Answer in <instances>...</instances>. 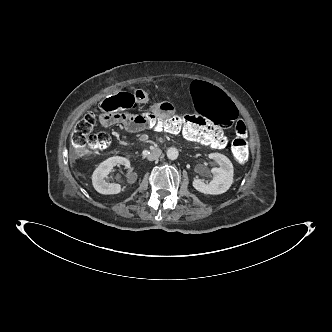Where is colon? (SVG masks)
Listing matches in <instances>:
<instances>
[{
    "label": "colon",
    "mask_w": 332,
    "mask_h": 332,
    "mask_svg": "<svg viewBox=\"0 0 332 332\" xmlns=\"http://www.w3.org/2000/svg\"><path fill=\"white\" fill-rule=\"evenodd\" d=\"M191 111L196 115L169 114L166 117L155 115L152 109L144 111L137 105V93L119 92L105 98L99 108V114L115 111L126 112L132 109L142 117L151 132L180 134L186 138L223 148L226 138L219 129L228 130L235 127L236 137L232 142V153L239 163L246 162L249 154L246 140V126L238 122L240 113L232 99L217 86L202 80L193 81L188 87ZM97 116L93 112L85 114L75 126L71 142L77 155H84L88 150H102L109 146L110 136L107 132L94 131ZM211 120L213 124L207 121Z\"/></svg>",
    "instance_id": "obj_1"
}]
</instances>
